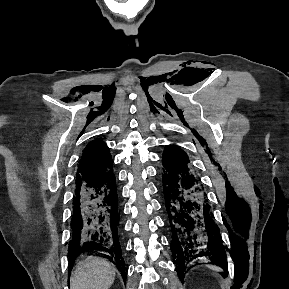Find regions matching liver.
I'll use <instances>...</instances> for the list:
<instances>
[{
  "mask_svg": "<svg viewBox=\"0 0 289 289\" xmlns=\"http://www.w3.org/2000/svg\"><path fill=\"white\" fill-rule=\"evenodd\" d=\"M115 280V268L107 260L88 257L78 263L70 279L71 289H109Z\"/></svg>",
  "mask_w": 289,
  "mask_h": 289,
  "instance_id": "6515ba94",
  "label": "liver"
}]
</instances>
